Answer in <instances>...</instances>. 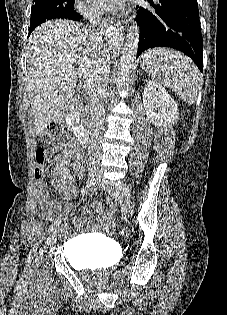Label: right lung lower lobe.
<instances>
[{
	"instance_id": "98d812e1",
	"label": "right lung lower lobe",
	"mask_w": 227,
	"mask_h": 315,
	"mask_svg": "<svg viewBox=\"0 0 227 315\" xmlns=\"http://www.w3.org/2000/svg\"><path fill=\"white\" fill-rule=\"evenodd\" d=\"M82 18V16L81 15H79L77 12H75L74 11V9L72 10V15L70 16V19L71 20H79V19H81ZM31 33V32H30ZM29 33V34H30Z\"/></svg>"
}]
</instances>
